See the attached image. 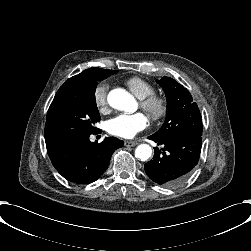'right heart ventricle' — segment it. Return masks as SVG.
<instances>
[{"instance_id": "obj_1", "label": "right heart ventricle", "mask_w": 251, "mask_h": 251, "mask_svg": "<svg viewBox=\"0 0 251 251\" xmlns=\"http://www.w3.org/2000/svg\"><path fill=\"white\" fill-rule=\"evenodd\" d=\"M125 84L139 98L148 96L154 93V87L151 83L140 76H129L125 80Z\"/></svg>"}]
</instances>
